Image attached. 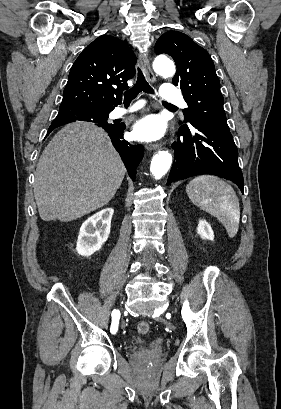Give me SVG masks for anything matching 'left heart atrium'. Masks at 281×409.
Here are the masks:
<instances>
[{
    "label": "left heart atrium",
    "mask_w": 281,
    "mask_h": 409,
    "mask_svg": "<svg viewBox=\"0 0 281 409\" xmlns=\"http://www.w3.org/2000/svg\"><path fill=\"white\" fill-rule=\"evenodd\" d=\"M165 134V124L156 114H148L138 119L132 130V136L139 142H153Z\"/></svg>",
    "instance_id": "39dd6f15"
}]
</instances>
